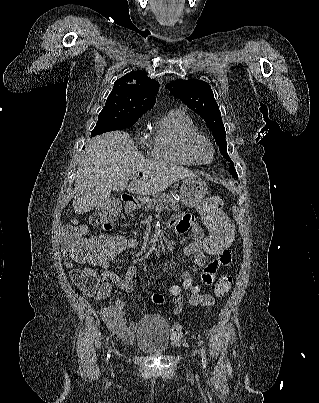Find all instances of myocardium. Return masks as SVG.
I'll use <instances>...</instances> for the list:
<instances>
[{
  "label": "myocardium",
  "instance_id": "f54148a6",
  "mask_svg": "<svg viewBox=\"0 0 319 403\" xmlns=\"http://www.w3.org/2000/svg\"><path fill=\"white\" fill-rule=\"evenodd\" d=\"M200 143H205L210 147L211 158L208 161H204L199 157L198 146ZM186 148L188 152L191 154V156L200 164L211 162L214 159L215 156L214 144L206 135L200 132H195L189 135V137L186 140Z\"/></svg>",
  "mask_w": 319,
  "mask_h": 403
}]
</instances>
